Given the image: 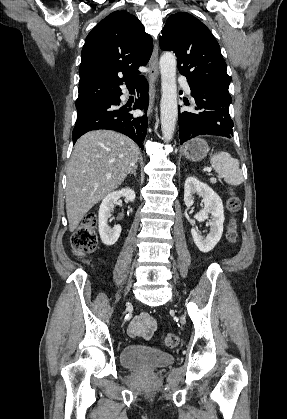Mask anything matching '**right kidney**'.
I'll use <instances>...</instances> for the list:
<instances>
[{"mask_svg": "<svg viewBox=\"0 0 287 419\" xmlns=\"http://www.w3.org/2000/svg\"><path fill=\"white\" fill-rule=\"evenodd\" d=\"M122 196L133 202L135 200V191L131 188H123L112 192L104 197L99 208V234L102 242L107 246L114 245L121 234V226L115 225L111 228L108 225V219L112 216L111 212L118 199Z\"/></svg>", "mask_w": 287, "mask_h": 419, "instance_id": "right-kidney-1", "label": "right kidney"}]
</instances>
